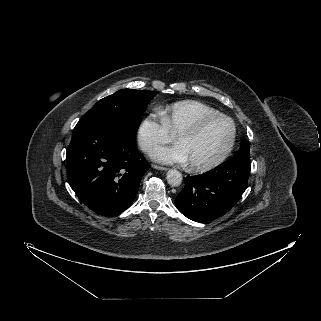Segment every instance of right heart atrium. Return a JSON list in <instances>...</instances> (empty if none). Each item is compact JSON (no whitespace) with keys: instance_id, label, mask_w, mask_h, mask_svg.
I'll return each mask as SVG.
<instances>
[{"instance_id":"right-heart-atrium-1","label":"right heart atrium","mask_w":321,"mask_h":321,"mask_svg":"<svg viewBox=\"0 0 321 321\" xmlns=\"http://www.w3.org/2000/svg\"><path fill=\"white\" fill-rule=\"evenodd\" d=\"M137 139L141 149L150 152L153 148L170 141V132L158 113H151L141 121Z\"/></svg>"}]
</instances>
